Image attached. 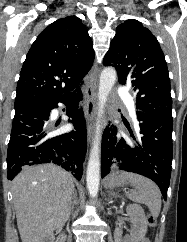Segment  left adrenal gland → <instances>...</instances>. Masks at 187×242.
Here are the masks:
<instances>
[{
    "instance_id": "a2214340",
    "label": "left adrenal gland",
    "mask_w": 187,
    "mask_h": 242,
    "mask_svg": "<svg viewBox=\"0 0 187 242\" xmlns=\"http://www.w3.org/2000/svg\"><path fill=\"white\" fill-rule=\"evenodd\" d=\"M108 196L109 197H118V195L114 191H108Z\"/></svg>"
}]
</instances>
